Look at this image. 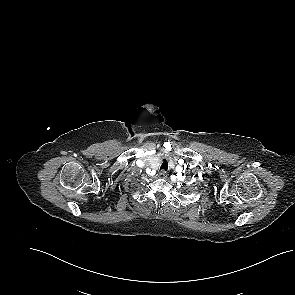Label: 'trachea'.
Instances as JSON below:
<instances>
[{
    "instance_id": "trachea-1",
    "label": "trachea",
    "mask_w": 295,
    "mask_h": 295,
    "mask_svg": "<svg viewBox=\"0 0 295 295\" xmlns=\"http://www.w3.org/2000/svg\"><path fill=\"white\" fill-rule=\"evenodd\" d=\"M168 169V162L166 159H163V163L161 164L160 170L166 171Z\"/></svg>"
}]
</instances>
